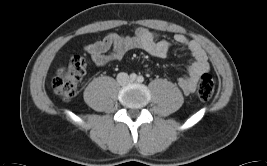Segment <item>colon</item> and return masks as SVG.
I'll return each instance as SVG.
<instances>
[{"mask_svg": "<svg viewBox=\"0 0 267 166\" xmlns=\"http://www.w3.org/2000/svg\"><path fill=\"white\" fill-rule=\"evenodd\" d=\"M86 72V62L82 57H73L65 65L57 70L52 81L54 92L63 100H70L78 92V87L82 77ZM214 92V81L210 74H202L199 86L198 97L203 102H208Z\"/></svg>", "mask_w": 267, "mask_h": 166, "instance_id": "obj_1", "label": "colon"}]
</instances>
